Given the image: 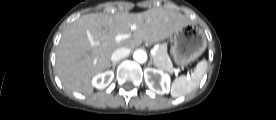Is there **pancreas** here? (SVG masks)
Instances as JSON below:
<instances>
[{"label": "pancreas", "mask_w": 276, "mask_h": 120, "mask_svg": "<svg viewBox=\"0 0 276 120\" xmlns=\"http://www.w3.org/2000/svg\"><path fill=\"white\" fill-rule=\"evenodd\" d=\"M155 65L164 71L172 72V62L169 55L167 54L166 45H161L155 50V55L153 56Z\"/></svg>", "instance_id": "cf45deb5"}]
</instances>
